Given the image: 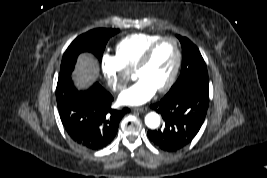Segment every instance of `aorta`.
Instances as JSON below:
<instances>
[{"label":"aorta","mask_w":267,"mask_h":178,"mask_svg":"<svg viewBox=\"0 0 267 178\" xmlns=\"http://www.w3.org/2000/svg\"><path fill=\"white\" fill-rule=\"evenodd\" d=\"M145 124L151 129H156L160 125V116L155 112H150L145 116Z\"/></svg>","instance_id":"aorta-1"}]
</instances>
